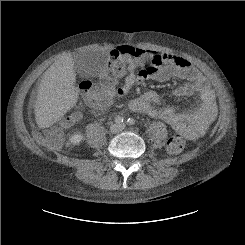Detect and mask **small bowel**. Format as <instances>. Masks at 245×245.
<instances>
[{"label": "small bowel", "instance_id": "c3829d8e", "mask_svg": "<svg viewBox=\"0 0 245 245\" xmlns=\"http://www.w3.org/2000/svg\"><path fill=\"white\" fill-rule=\"evenodd\" d=\"M112 57L118 51H111ZM164 64L160 65L159 62ZM111 75L114 90L111 94L83 91V99L89 107L90 113L105 111L116 97H124L134 86L141 85L147 80L159 82L173 78L185 79L188 83L172 91L176 99L197 94L200 98V107L191 112H180L173 106L165 105L159 95L148 91L129 101L128 107L134 112L158 117L167 122L174 131L180 132L187 138H196L203 135L217 113L214 92L206 78L184 57L172 53H160L155 50H142L141 58L137 62H129L121 72H112L111 67L100 71V76ZM65 77H71V71L65 72ZM123 84H119L120 80Z\"/></svg>", "mask_w": 245, "mask_h": 245}]
</instances>
